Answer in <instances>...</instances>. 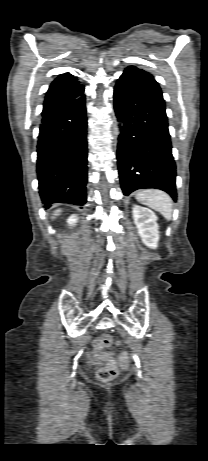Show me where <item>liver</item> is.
<instances>
[{"mask_svg": "<svg viewBox=\"0 0 208 461\" xmlns=\"http://www.w3.org/2000/svg\"><path fill=\"white\" fill-rule=\"evenodd\" d=\"M61 212H62L61 209L55 210L54 213H53V217H52V218L54 219L56 216L60 215Z\"/></svg>", "mask_w": 208, "mask_h": 461, "instance_id": "6515ba94", "label": "liver"}]
</instances>
